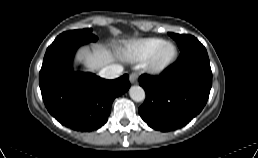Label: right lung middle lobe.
I'll list each match as a JSON object with an SVG mask.
<instances>
[{
  "label": "right lung middle lobe",
  "instance_id": "right-lung-middle-lobe-1",
  "mask_svg": "<svg viewBox=\"0 0 258 158\" xmlns=\"http://www.w3.org/2000/svg\"><path fill=\"white\" fill-rule=\"evenodd\" d=\"M61 41H80L88 43L97 41V37L92 34L91 29H80L63 32L54 40V42Z\"/></svg>",
  "mask_w": 258,
  "mask_h": 158
}]
</instances>
